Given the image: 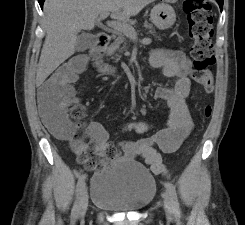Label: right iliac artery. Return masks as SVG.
I'll return each mask as SVG.
<instances>
[{
    "label": "right iliac artery",
    "mask_w": 245,
    "mask_h": 225,
    "mask_svg": "<svg viewBox=\"0 0 245 225\" xmlns=\"http://www.w3.org/2000/svg\"><path fill=\"white\" fill-rule=\"evenodd\" d=\"M85 180H86V174L81 175L78 179L77 186H76V200L72 208L71 212V219L75 220L78 216V211H79V198H80V193L85 185Z\"/></svg>",
    "instance_id": "obj_1"
}]
</instances>
